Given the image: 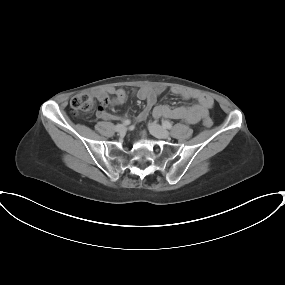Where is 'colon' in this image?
<instances>
[{
    "label": "colon",
    "instance_id": "colon-1",
    "mask_svg": "<svg viewBox=\"0 0 285 285\" xmlns=\"http://www.w3.org/2000/svg\"><path fill=\"white\" fill-rule=\"evenodd\" d=\"M71 111L75 115L82 113H89L95 107V95L91 91H85L81 94L76 95L72 98L70 103ZM203 125L206 127H211L213 125V120L209 117L203 119Z\"/></svg>",
    "mask_w": 285,
    "mask_h": 285
}]
</instances>
